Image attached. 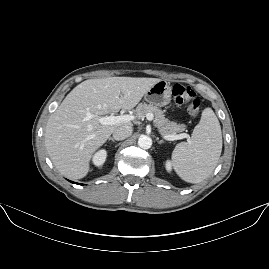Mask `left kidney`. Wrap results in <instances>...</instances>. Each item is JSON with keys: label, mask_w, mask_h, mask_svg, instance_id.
I'll return each instance as SVG.
<instances>
[{"label": "left kidney", "mask_w": 269, "mask_h": 269, "mask_svg": "<svg viewBox=\"0 0 269 269\" xmlns=\"http://www.w3.org/2000/svg\"><path fill=\"white\" fill-rule=\"evenodd\" d=\"M165 167L168 172H171L172 167H171V162L169 160L166 161Z\"/></svg>", "instance_id": "obj_1"}]
</instances>
